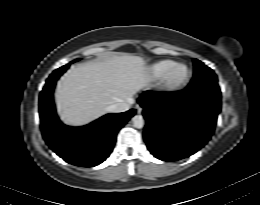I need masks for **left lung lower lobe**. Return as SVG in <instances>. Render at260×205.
Listing matches in <instances>:
<instances>
[{
  "mask_svg": "<svg viewBox=\"0 0 260 205\" xmlns=\"http://www.w3.org/2000/svg\"><path fill=\"white\" fill-rule=\"evenodd\" d=\"M138 102L144 108L148 149L160 160L175 161L208 142L221 109V94L187 87L169 93L146 91Z\"/></svg>",
  "mask_w": 260,
  "mask_h": 205,
  "instance_id": "1",
  "label": "left lung lower lobe"
}]
</instances>
